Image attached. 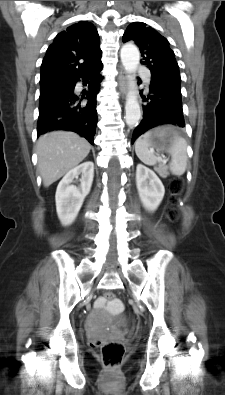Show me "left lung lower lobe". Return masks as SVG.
Returning a JSON list of instances; mask_svg holds the SVG:
<instances>
[{
  "mask_svg": "<svg viewBox=\"0 0 225 395\" xmlns=\"http://www.w3.org/2000/svg\"><path fill=\"white\" fill-rule=\"evenodd\" d=\"M141 96L142 91H141ZM143 120L136 127L132 143L144 132L163 124L184 127L180 81L162 75H152L149 94L143 97Z\"/></svg>",
  "mask_w": 225,
  "mask_h": 395,
  "instance_id": "1",
  "label": "left lung lower lobe"
}]
</instances>
